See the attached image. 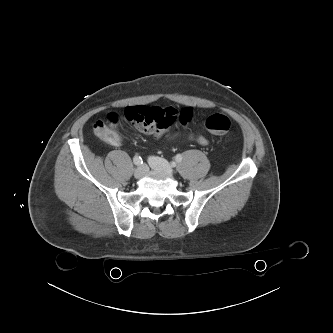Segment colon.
Listing matches in <instances>:
<instances>
[{
	"mask_svg": "<svg viewBox=\"0 0 333 333\" xmlns=\"http://www.w3.org/2000/svg\"><path fill=\"white\" fill-rule=\"evenodd\" d=\"M120 118L115 113H110L107 119L97 121L93 126V131L101 140L109 143L114 136V129L118 126ZM207 130L215 135L226 134L231 127L230 119L223 114H213L205 122Z\"/></svg>",
	"mask_w": 333,
	"mask_h": 333,
	"instance_id": "1",
	"label": "colon"
}]
</instances>
